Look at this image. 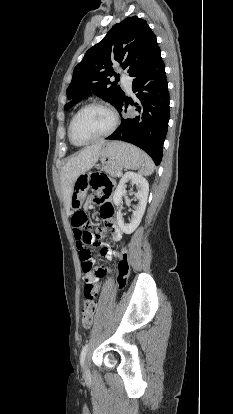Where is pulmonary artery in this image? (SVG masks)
Returning a JSON list of instances; mask_svg holds the SVG:
<instances>
[{"instance_id": "pulmonary-artery-1", "label": "pulmonary artery", "mask_w": 233, "mask_h": 414, "mask_svg": "<svg viewBox=\"0 0 233 414\" xmlns=\"http://www.w3.org/2000/svg\"><path fill=\"white\" fill-rule=\"evenodd\" d=\"M122 83L128 92H131V79L129 76L122 74L121 76Z\"/></svg>"}]
</instances>
